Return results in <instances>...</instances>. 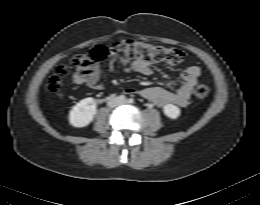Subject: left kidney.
Wrapping results in <instances>:
<instances>
[{"label": "left kidney", "instance_id": "5707ae66", "mask_svg": "<svg viewBox=\"0 0 260 205\" xmlns=\"http://www.w3.org/2000/svg\"><path fill=\"white\" fill-rule=\"evenodd\" d=\"M163 112L170 119H177L180 116V108L173 104L165 105Z\"/></svg>", "mask_w": 260, "mask_h": 205}]
</instances>
